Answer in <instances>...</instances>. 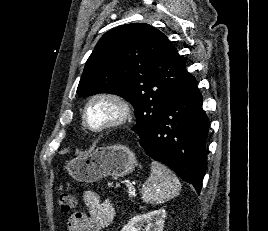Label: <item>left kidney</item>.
I'll return each instance as SVG.
<instances>
[{
	"label": "left kidney",
	"mask_w": 268,
	"mask_h": 231,
	"mask_svg": "<svg viewBox=\"0 0 268 231\" xmlns=\"http://www.w3.org/2000/svg\"><path fill=\"white\" fill-rule=\"evenodd\" d=\"M165 217L164 209L137 215L130 219L121 231H163Z\"/></svg>",
	"instance_id": "5707ae66"
}]
</instances>
